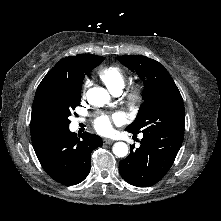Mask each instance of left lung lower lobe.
I'll return each instance as SVG.
<instances>
[{
	"label": "left lung lower lobe",
	"mask_w": 221,
	"mask_h": 221,
	"mask_svg": "<svg viewBox=\"0 0 221 221\" xmlns=\"http://www.w3.org/2000/svg\"><path fill=\"white\" fill-rule=\"evenodd\" d=\"M182 141L183 139L161 134L143 133L140 147L134 150V146H131L128 157L120 161L121 176L126 182L137 187H148L157 183L172 166Z\"/></svg>",
	"instance_id": "left-lung-lower-lobe-1"
}]
</instances>
